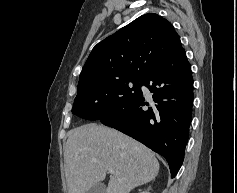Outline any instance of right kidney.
I'll list each match as a JSON object with an SVG mask.
<instances>
[{
    "mask_svg": "<svg viewBox=\"0 0 237 193\" xmlns=\"http://www.w3.org/2000/svg\"><path fill=\"white\" fill-rule=\"evenodd\" d=\"M141 193H150L148 190H146V191H143V192H141Z\"/></svg>",
    "mask_w": 237,
    "mask_h": 193,
    "instance_id": "ca27d5eb",
    "label": "right kidney"
}]
</instances>
